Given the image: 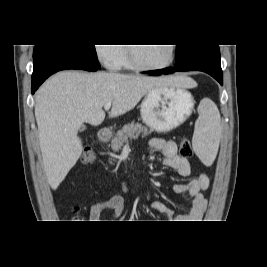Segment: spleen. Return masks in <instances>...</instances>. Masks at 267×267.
<instances>
[{
  "label": "spleen",
  "mask_w": 267,
  "mask_h": 267,
  "mask_svg": "<svg viewBox=\"0 0 267 267\" xmlns=\"http://www.w3.org/2000/svg\"><path fill=\"white\" fill-rule=\"evenodd\" d=\"M200 116L196 122L192 138L193 149L200 160L211 165L217 155L220 133L221 119L217 107L209 104L206 108L205 103L199 107Z\"/></svg>",
  "instance_id": "3e777b00"
}]
</instances>
